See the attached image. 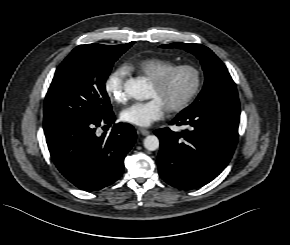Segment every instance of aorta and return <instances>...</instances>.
Masks as SVG:
<instances>
[{"label":"aorta","instance_id":"aorta-1","mask_svg":"<svg viewBox=\"0 0 290 245\" xmlns=\"http://www.w3.org/2000/svg\"><path fill=\"white\" fill-rule=\"evenodd\" d=\"M125 92L136 100H146L150 95V85L146 78H131L124 85ZM159 139L155 135H149L144 139V147L149 151L159 148Z\"/></svg>","mask_w":290,"mask_h":245}]
</instances>
